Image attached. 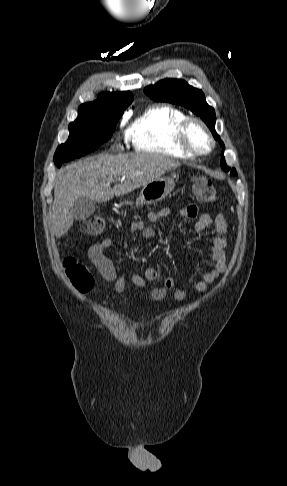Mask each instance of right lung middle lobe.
I'll use <instances>...</instances> for the list:
<instances>
[{
  "label": "right lung middle lobe",
  "instance_id": "1",
  "mask_svg": "<svg viewBox=\"0 0 287 486\" xmlns=\"http://www.w3.org/2000/svg\"><path fill=\"white\" fill-rule=\"evenodd\" d=\"M122 114L99 109L78 110L77 119L69 125L67 142L58 146L55 152L54 163L60 167L63 162L96 150L110 139Z\"/></svg>",
  "mask_w": 287,
  "mask_h": 486
}]
</instances>
